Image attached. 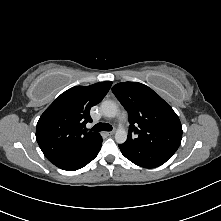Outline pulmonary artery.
Returning <instances> with one entry per match:
<instances>
[{"label":"pulmonary artery","mask_w":221,"mask_h":221,"mask_svg":"<svg viewBox=\"0 0 221 221\" xmlns=\"http://www.w3.org/2000/svg\"><path fill=\"white\" fill-rule=\"evenodd\" d=\"M121 119H122V121H126V119H127V115H126V113H124V112H122L121 113Z\"/></svg>","instance_id":"e3ab8cb5"}]
</instances>
